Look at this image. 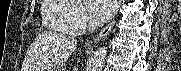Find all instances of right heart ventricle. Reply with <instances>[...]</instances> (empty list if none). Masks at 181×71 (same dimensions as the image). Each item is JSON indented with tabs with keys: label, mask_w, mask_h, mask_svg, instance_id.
Listing matches in <instances>:
<instances>
[{
	"label": "right heart ventricle",
	"mask_w": 181,
	"mask_h": 71,
	"mask_svg": "<svg viewBox=\"0 0 181 71\" xmlns=\"http://www.w3.org/2000/svg\"><path fill=\"white\" fill-rule=\"evenodd\" d=\"M71 4L61 0H45L42 7V16L45 26L51 30L74 34L69 26L68 13Z\"/></svg>",
	"instance_id": "e07e8e85"
}]
</instances>
